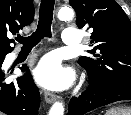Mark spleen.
<instances>
[{"label":"spleen","instance_id":"3e777b00","mask_svg":"<svg viewBox=\"0 0 131 115\" xmlns=\"http://www.w3.org/2000/svg\"><path fill=\"white\" fill-rule=\"evenodd\" d=\"M105 115H131L130 108H111Z\"/></svg>","mask_w":131,"mask_h":115}]
</instances>
